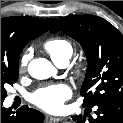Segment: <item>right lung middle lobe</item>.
Listing matches in <instances>:
<instances>
[{
    "label": "right lung middle lobe",
    "mask_w": 123,
    "mask_h": 123,
    "mask_svg": "<svg viewBox=\"0 0 123 123\" xmlns=\"http://www.w3.org/2000/svg\"><path fill=\"white\" fill-rule=\"evenodd\" d=\"M18 60L19 57L9 62H1V101L7 96L5 87L12 85L18 80Z\"/></svg>",
    "instance_id": "dd1d6c3e"
}]
</instances>
